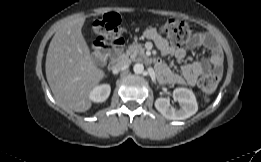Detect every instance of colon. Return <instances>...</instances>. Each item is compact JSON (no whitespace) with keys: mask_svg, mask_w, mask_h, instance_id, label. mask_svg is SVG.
<instances>
[{"mask_svg":"<svg viewBox=\"0 0 261 162\" xmlns=\"http://www.w3.org/2000/svg\"><path fill=\"white\" fill-rule=\"evenodd\" d=\"M92 30L96 36L93 54L98 60L108 57V48L112 43L124 41L121 36V18L116 13H108L95 20ZM161 33L174 44H183L193 38L190 25L178 19L167 20L161 26ZM199 87L205 95H210L217 87V78L205 75L199 80Z\"/></svg>","mask_w":261,"mask_h":162,"instance_id":"obj_1","label":"colon"}]
</instances>
